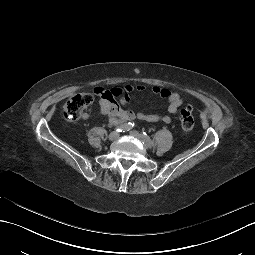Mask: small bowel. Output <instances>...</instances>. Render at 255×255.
Instances as JSON below:
<instances>
[{"instance_id":"obj_1","label":"small bowel","mask_w":255,"mask_h":255,"mask_svg":"<svg viewBox=\"0 0 255 255\" xmlns=\"http://www.w3.org/2000/svg\"><path fill=\"white\" fill-rule=\"evenodd\" d=\"M134 89L138 91H143L145 87L138 85L133 87L127 85L123 88H113V91H120V101L122 106H120L114 96L110 95V91L105 90L102 87H95L94 93L99 97V115L107 117L109 122L113 125H117L121 122L132 121L135 119L143 120L147 122H164L170 123L172 121L170 116H161L157 114H146L140 111H135L130 107L131 100L127 93L133 91ZM152 93L160 96L168 102V111L171 114H176L179 107L183 104V98L180 93L171 91L168 88H163L159 86L152 87ZM84 119L90 117L88 113L82 115Z\"/></svg>"}]
</instances>
